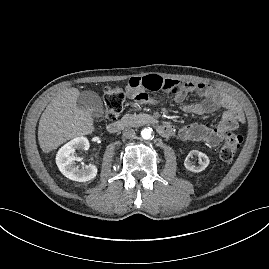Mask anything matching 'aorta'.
Segmentation results:
<instances>
[{
  "mask_svg": "<svg viewBox=\"0 0 269 269\" xmlns=\"http://www.w3.org/2000/svg\"><path fill=\"white\" fill-rule=\"evenodd\" d=\"M152 128H144L142 131H141V136L143 139H150L152 137Z\"/></svg>",
  "mask_w": 269,
  "mask_h": 269,
  "instance_id": "762f6f07",
  "label": "aorta"
}]
</instances>
